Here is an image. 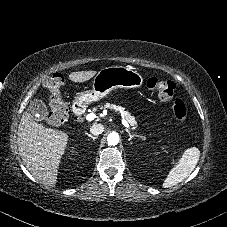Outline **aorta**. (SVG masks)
Returning a JSON list of instances; mask_svg holds the SVG:
<instances>
[{
	"label": "aorta",
	"instance_id": "obj_1",
	"mask_svg": "<svg viewBox=\"0 0 227 227\" xmlns=\"http://www.w3.org/2000/svg\"><path fill=\"white\" fill-rule=\"evenodd\" d=\"M107 142L109 145H117L119 142V135L116 132H112L107 137Z\"/></svg>",
	"mask_w": 227,
	"mask_h": 227
}]
</instances>
